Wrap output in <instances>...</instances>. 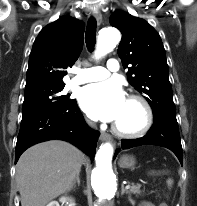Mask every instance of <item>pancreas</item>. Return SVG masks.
Returning <instances> with one entry per match:
<instances>
[{
  "label": "pancreas",
  "instance_id": "obj_1",
  "mask_svg": "<svg viewBox=\"0 0 197 206\" xmlns=\"http://www.w3.org/2000/svg\"><path fill=\"white\" fill-rule=\"evenodd\" d=\"M128 193L140 194V193H141L140 185H134V184H132V186H131L130 189L128 190Z\"/></svg>",
  "mask_w": 197,
  "mask_h": 206
}]
</instances>
